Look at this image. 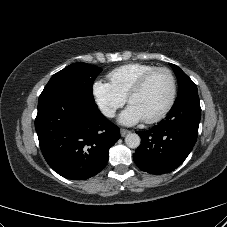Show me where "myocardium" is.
I'll use <instances>...</instances> for the list:
<instances>
[{
  "label": "myocardium",
  "mask_w": 227,
  "mask_h": 227,
  "mask_svg": "<svg viewBox=\"0 0 227 227\" xmlns=\"http://www.w3.org/2000/svg\"><path fill=\"white\" fill-rule=\"evenodd\" d=\"M157 72H165L170 79V84H171V92H170V97L169 100L167 102V104L165 105V107L156 115L147 118V119H143L145 123L148 124H152V123H156L160 120H162L172 109L176 97H177V81H176V77L174 75V73L172 72V70H170L167 67H155L151 70H149L148 72L144 73L134 84L133 86L130 88L126 99L127 102L130 104V101L132 99V97L137 94L139 91H141L143 89V87L145 86V84L147 83V81L151 78L152 75H154Z\"/></svg>",
  "instance_id": "f54148a6"
}]
</instances>
